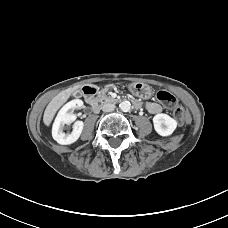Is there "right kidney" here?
<instances>
[{
	"label": "right kidney",
	"mask_w": 228,
	"mask_h": 228,
	"mask_svg": "<svg viewBox=\"0 0 228 228\" xmlns=\"http://www.w3.org/2000/svg\"><path fill=\"white\" fill-rule=\"evenodd\" d=\"M83 106V101L80 99H74L66 103L58 112L57 117L52 127V137L61 145H69L78 140L80 137L84 123L82 121H76L73 125V131L70 134H66L63 129L66 124H71L75 121L76 115L74 110Z\"/></svg>",
	"instance_id": "right-kidney-1"
}]
</instances>
